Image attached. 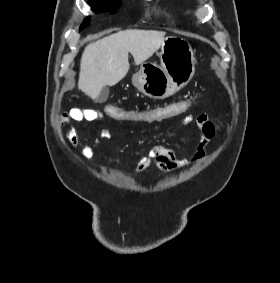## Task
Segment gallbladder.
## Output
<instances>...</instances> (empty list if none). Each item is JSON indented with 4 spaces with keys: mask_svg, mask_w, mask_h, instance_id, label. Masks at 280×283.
<instances>
[{
    "mask_svg": "<svg viewBox=\"0 0 280 283\" xmlns=\"http://www.w3.org/2000/svg\"><path fill=\"white\" fill-rule=\"evenodd\" d=\"M108 96H109V88L105 86L100 91V94L97 97V101L100 102V103L105 102L107 100Z\"/></svg>",
    "mask_w": 280,
    "mask_h": 283,
    "instance_id": "obj_1",
    "label": "gallbladder"
}]
</instances>
